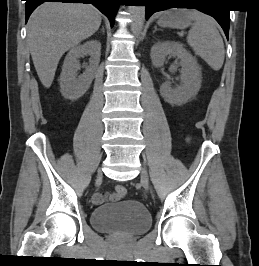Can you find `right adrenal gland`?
<instances>
[{
  "label": "right adrenal gland",
  "instance_id": "1",
  "mask_svg": "<svg viewBox=\"0 0 259 266\" xmlns=\"http://www.w3.org/2000/svg\"><path fill=\"white\" fill-rule=\"evenodd\" d=\"M101 31H102L103 33H104V31H105L103 26H102V29H101Z\"/></svg>",
  "mask_w": 259,
  "mask_h": 266
}]
</instances>
